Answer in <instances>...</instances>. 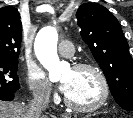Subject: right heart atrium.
<instances>
[{"instance_id": "d8ad5b80", "label": "right heart atrium", "mask_w": 133, "mask_h": 118, "mask_svg": "<svg viewBox=\"0 0 133 118\" xmlns=\"http://www.w3.org/2000/svg\"><path fill=\"white\" fill-rule=\"evenodd\" d=\"M27 81L34 97L49 99L52 96V84L43 70L39 68L29 70Z\"/></svg>"}]
</instances>
